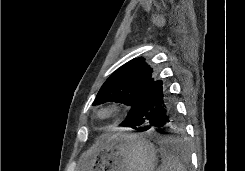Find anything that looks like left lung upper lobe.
I'll use <instances>...</instances> for the list:
<instances>
[{"label":"left lung upper lobe","mask_w":245,"mask_h":171,"mask_svg":"<svg viewBox=\"0 0 245 171\" xmlns=\"http://www.w3.org/2000/svg\"><path fill=\"white\" fill-rule=\"evenodd\" d=\"M145 58L138 57L117 69L102 85L93 105L108 101L124 103L133 107L140 93L155 79Z\"/></svg>","instance_id":"left-lung-upper-lobe-1"}]
</instances>
